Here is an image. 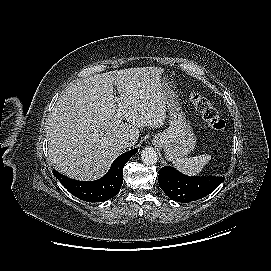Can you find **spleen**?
Returning <instances> with one entry per match:
<instances>
[{"label":"spleen","mask_w":271,"mask_h":271,"mask_svg":"<svg viewBox=\"0 0 271 271\" xmlns=\"http://www.w3.org/2000/svg\"><path fill=\"white\" fill-rule=\"evenodd\" d=\"M211 156L203 154L192 158H179L173 161V165L183 174L188 176L199 175L205 165L209 163Z\"/></svg>","instance_id":"obj_1"}]
</instances>
